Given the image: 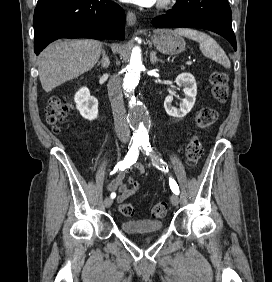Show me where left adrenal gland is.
I'll return each instance as SVG.
<instances>
[{"mask_svg": "<svg viewBox=\"0 0 272 282\" xmlns=\"http://www.w3.org/2000/svg\"><path fill=\"white\" fill-rule=\"evenodd\" d=\"M150 61L152 64L156 63V62H164L162 59L157 58L156 56V51H151L150 52Z\"/></svg>", "mask_w": 272, "mask_h": 282, "instance_id": "a2214340", "label": "left adrenal gland"}]
</instances>
